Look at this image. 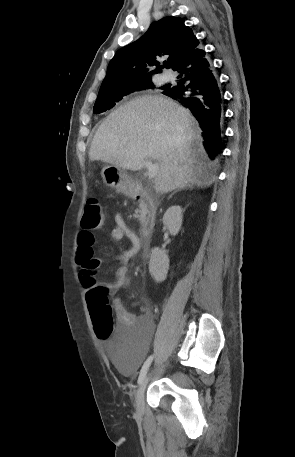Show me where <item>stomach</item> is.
<instances>
[{
	"label": "stomach",
	"mask_w": 295,
	"mask_h": 457,
	"mask_svg": "<svg viewBox=\"0 0 295 457\" xmlns=\"http://www.w3.org/2000/svg\"><path fill=\"white\" fill-rule=\"evenodd\" d=\"M101 174L108 187L126 195L132 193L134 184L124 169L115 165H107L102 169Z\"/></svg>",
	"instance_id": "0dacf381"
}]
</instances>
